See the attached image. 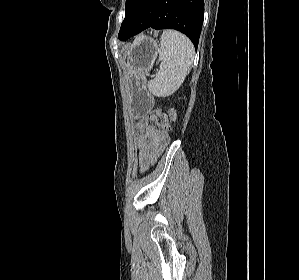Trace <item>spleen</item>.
Listing matches in <instances>:
<instances>
[{
	"label": "spleen",
	"instance_id": "spleen-1",
	"mask_svg": "<svg viewBox=\"0 0 299 280\" xmlns=\"http://www.w3.org/2000/svg\"><path fill=\"white\" fill-rule=\"evenodd\" d=\"M195 55L194 46L182 33L163 31L160 41V69L156 77L148 81L149 91L158 97H166L179 89L191 69Z\"/></svg>",
	"mask_w": 299,
	"mask_h": 280
}]
</instances>
